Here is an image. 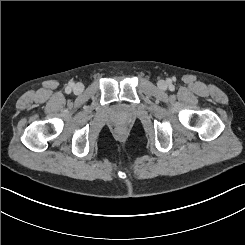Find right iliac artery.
Here are the masks:
<instances>
[{"label": "right iliac artery", "instance_id": "1", "mask_svg": "<svg viewBox=\"0 0 245 245\" xmlns=\"http://www.w3.org/2000/svg\"><path fill=\"white\" fill-rule=\"evenodd\" d=\"M66 91L67 92H70L71 91V88L70 87H67Z\"/></svg>", "mask_w": 245, "mask_h": 245}]
</instances>
